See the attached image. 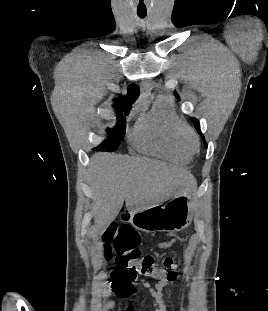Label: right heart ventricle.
<instances>
[{
    "mask_svg": "<svg viewBox=\"0 0 268 311\" xmlns=\"http://www.w3.org/2000/svg\"><path fill=\"white\" fill-rule=\"evenodd\" d=\"M179 121L171 102L160 97L151 110L136 121L130 136L131 143L144 153L180 164L188 163L191 153L177 139Z\"/></svg>",
    "mask_w": 268,
    "mask_h": 311,
    "instance_id": "obj_1",
    "label": "right heart ventricle"
}]
</instances>
